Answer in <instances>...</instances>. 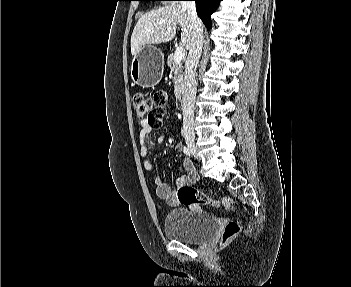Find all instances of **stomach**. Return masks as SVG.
Returning a JSON list of instances; mask_svg holds the SVG:
<instances>
[{"instance_id":"0dacf381","label":"stomach","mask_w":351,"mask_h":287,"mask_svg":"<svg viewBox=\"0 0 351 287\" xmlns=\"http://www.w3.org/2000/svg\"><path fill=\"white\" fill-rule=\"evenodd\" d=\"M164 71V55L152 45L142 46L131 62V77L134 83L150 88L162 79Z\"/></svg>"}]
</instances>
